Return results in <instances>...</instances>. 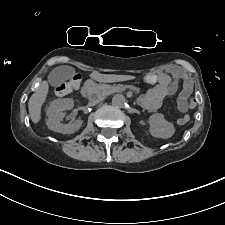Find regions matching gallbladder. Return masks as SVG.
Listing matches in <instances>:
<instances>
[{
	"mask_svg": "<svg viewBox=\"0 0 225 225\" xmlns=\"http://www.w3.org/2000/svg\"><path fill=\"white\" fill-rule=\"evenodd\" d=\"M74 74V68L71 66H59L53 69L49 76L48 82L51 86L61 85L65 80L70 79Z\"/></svg>",
	"mask_w": 225,
	"mask_h": 225,
	"instance_id": "1",
	"label": "gallbladder"
}]
</instances>
